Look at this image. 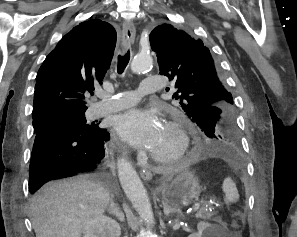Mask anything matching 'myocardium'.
<instances>
[{"label":"myocardium","instance_id":"myocardium-1","mask_svg":"<svg viewBox=\"0 0 297 237\" xmlns=\"http://www.w3.org/2000/svg\"><path fill=\"white\" fill-rule=\"evenodd\" d=\"M165 125L178 137L179 146L176 152L167 156L156 155L152 152L149 153L151 160L159 165H168L182 160L190 149V136L182 116H176L167 120Z\"/></svg>","mask_w":297,"mask_h":237}]
</instances>
